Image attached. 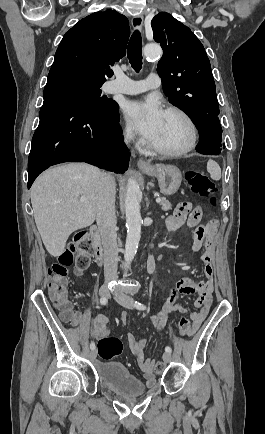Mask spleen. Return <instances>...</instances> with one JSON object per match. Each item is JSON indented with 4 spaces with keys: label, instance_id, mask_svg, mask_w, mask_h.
I'll use <instances>...</instances> for the list:
<instances>
[{
    "label": "spleen",
    "instance_id": "1",
    "mask_svg": "<svg viewBox=\"0 0 265 434\" xmlns=\"http://www.w3.org/2000/svg\"><path fill=\"white\" fill-rule=\"evenodd\" d=\"M207 172H209L212 180H220L221 168L220 166H218L217 162H214V160H208Z\"/></svg>",
    "mask_w": 265,
    "mask_h": 434
}]
</instances>
